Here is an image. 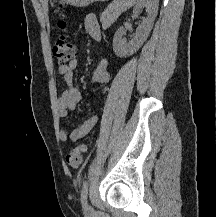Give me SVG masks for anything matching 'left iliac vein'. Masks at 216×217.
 Listing matches in <instances>:
<instances>
[{"label":"left iliac vein","instance_id":"left-iliac-vein-1","mask_svg":"<svg viewBox=\"0 0 216 217\" xmlns=\"http://www.w3.org/2000/svg\"><path fill=\"white\" fill-rule=\"evenodd\" d=\"M90 206L88 204L85 205V210L90 211Z\"/></svg>","mask_w":216,"mask_h":217}]
</instances>
